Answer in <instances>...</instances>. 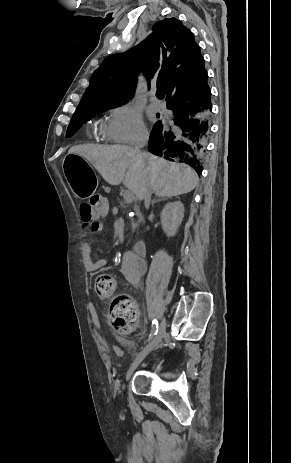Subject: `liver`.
Here are the masks:
<instances>
[{"instance_id":"liver-1","label":"liver","mask_w":291,"mask_h":463,"mask_svg":"<svg viewBox=\"0 0 291 463\" xmlns=\"http://www.w3.org/2000/svg\"><path fill=\"white\" fill-rule=\"evenodd\" d=\"M68 154H76L91 162L110 185L124 186L139 199L149 184L160 197L191 192L199 182L196 172L185 164L169 162L150 153H135L126 145H77Z\"/></svg>"}]
</instances>
